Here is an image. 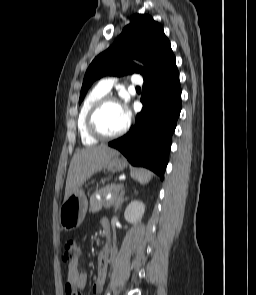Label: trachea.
Instances as JSON below:
<instances>
[{"mask_svg":"<svg viewBox=\"0 0 256 295\" xmlns=\"http://www.w3.org/2000/svg\"><path fill=\"white\" fill-rule=\"evenodd\" d=\"M137 90H140V87H136Z\"/></svg>","mask_w":256,"mask_h":295,"instance_id":"trachea-1","label":"trachea"}]
</instances>
